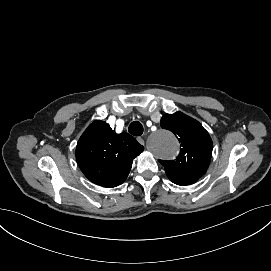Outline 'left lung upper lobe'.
I'll return each instance as SVG.
<instances>
[{
	"label": "left lung upper lobe",
	"mask_w": 271,
	"mask_h": 271,
	"mask_svg": "<svg viewBox=\"0 0 271 271\" xmlns=\"http://www.w3.org/2000/svg\"><path fill=\"white\" fill-rule=\"evenodd\" d=\"M160 124L177 136L182 147L175 160H159L168 178L181 186L195 183L206 173L211 160L213 144L208 132L182 112L165 114Z\"/></svg>",
	"instance_id": "1"
}]
</instances>
